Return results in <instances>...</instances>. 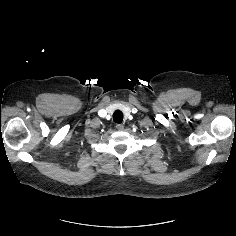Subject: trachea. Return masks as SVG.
Segmentation results:
<instances>
[{"instance_id":"3493384b","label":"trachea","mask_w":236,"mask_h":236,"mask_svg":"<svg viewBox=\"0 0 236 236\" xmlns=\"http://www.w3.org/2000/svg\"><path fill=\"white\" fill-rule=\"evenodd\" d=\"M114 122L120 124L123 121V113L120 110H117L113 113Z\"/></svg>"}]
</instances>
